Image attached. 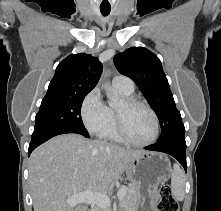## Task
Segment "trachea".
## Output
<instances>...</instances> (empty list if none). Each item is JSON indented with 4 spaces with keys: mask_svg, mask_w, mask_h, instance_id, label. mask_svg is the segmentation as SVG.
Instances as JSON below:
<instances>
[{
    "mask_svg": "<svg viewBox=\"0 0 221 211\" xmlns=\"http://www.w3.org/2000/svg\"><path fill=\"white\" fill-rule=\"evenodd\" d=\"M111 8H100V12L103 16L109 15Z\"/></svg>",
    "mask_w": 221,
    "mask_h": 211,
    "instance_id": "1",
    "label": "trachea"
}]
</instances>
